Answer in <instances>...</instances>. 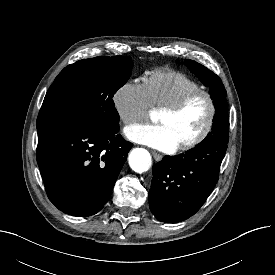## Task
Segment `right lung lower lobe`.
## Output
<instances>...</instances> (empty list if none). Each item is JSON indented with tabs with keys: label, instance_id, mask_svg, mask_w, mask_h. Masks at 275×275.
<instances>
[{
	"label": "right lung lower lobe",
	"instance_id": "right-lung-lower-lobe-1",
	"mask_svg": "<svg viewBox=\"0 0 275 275\" xmlns=\"http://www.w3.org/2000/svg\"><path fill=\"white\" fill-rule=\"evenodd\" d=\"M119 128H68L38 139L37 163L50 201L87 217L108 201L132 143Z\"/></svg>",
	"mask_w": 275,
	"mask_h": 275
}]
</instances>
